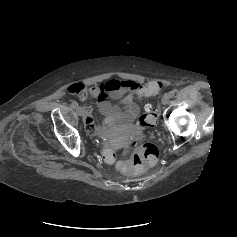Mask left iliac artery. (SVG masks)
Masks as SVG:
<instances>
[{
	"instance_id": "1",
	"label": "left iliac artery",
	"mask_w": 237,
	"mask_h": 237,
	"mask_svg": "<svg viewBox=\"0 0 237 237\" xmlns=\"http://www.w3.org/2000/svg\"><path fill=\"white\" fill-rule=\"evenodd\" d=\"M174 91H170L167 95L169 96V98H172L174 96Z\"/></svg>"
}]
</instances>
